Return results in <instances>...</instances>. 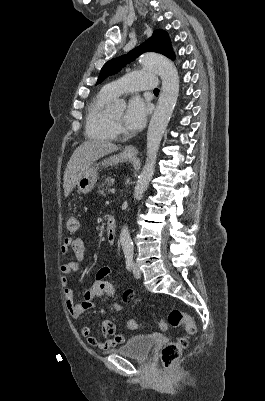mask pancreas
<instances>
[{"label": "pancreas", "instance_id": "pancreas-1", "mask_svg": "<svg viewBox=\"0 0 265 401\" xmlns=\"http://www.w3.org/2000/svg\"><path fill=\"white\" fill-rule=\"evenodd\" d=\"M106 184H107V186H106ZM111 184H113V178H111V176H107L106 180H104V182H101V184H99V186H98L99 194H107V192H110Z\"/></svg>", "mask_w": 265, "mask_h": 401}]
</instances>
